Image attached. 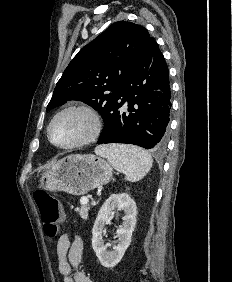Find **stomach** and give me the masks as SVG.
Wrapping results in <instances>:
<instances>
[{"label":"stomach","instance_id":"1","mask_svg":"<svg viewBox=\"0 0 232 282\" xmlns=\"http://www.w3.org/2000/svg\"><path fill=\"white\" fill-rule=\"evenodd\" d=\"M112 173L106 160L93 154H74L63 157L43 173L40 187L80 196L107 184Z\"/></svg>","mask_w":232,"mask_h":282}]
</instances>
